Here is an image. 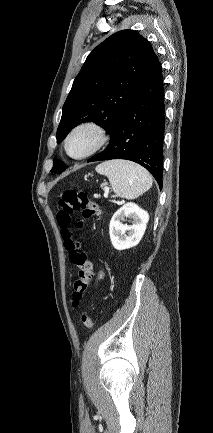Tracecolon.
Segmentation results:
<instances>
[{"label":"colon","instance_id":"5ec220e1","mask_svg":"<svg viewBox=\"0 0 213 433\" xmlns=\"http://www.w3.org/2000/svg\"><path fill=\"white\" fill-rule=\"evenodd\" d=\"M59 207L57 222L61 228L64 246L69 253L71 263L77 268V275L73 281L72 291V304L76 307L80 304L88 289L92 278V265L88 261L86 254L80 250L79 242L74 239L73 231L69 227L73 214L80 211L82 219L78 221L76 228L79 231H83L87 221L100 214V209L85 191L73 189H67L62 193ZM82 320L86 328L93 326V320L90 315L84 314Z\"/></svg>","mask_w":213,"mask_h":433}]
</instances>
